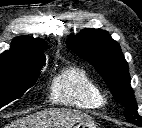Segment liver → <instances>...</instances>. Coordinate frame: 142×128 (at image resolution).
I'll use <instances>...</instances> for the list:
<instances>
[{"instance_id": "liver-1", "label": "liver", "mask_w": 142, "mask_h": 128, "mask_svg": "<svg viewBox=\"0 0 142 128\" xmlns=\"http://www.w3.org/2000/svg\"><path fill=\"white\" fill-rule=\"evenodd\" d=\"M90 119L81 111L53 108L15 120L5 128H71L75 123Z\"/></svg>"}]
</instances>
